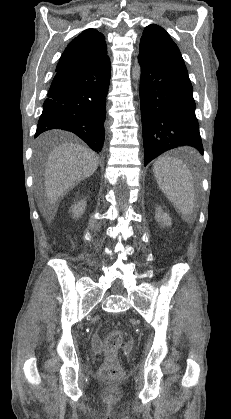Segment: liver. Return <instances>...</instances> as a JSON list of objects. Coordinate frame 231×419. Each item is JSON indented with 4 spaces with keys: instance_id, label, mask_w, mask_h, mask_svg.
<instances>
[{
    "instance_id": "obj_1",
    "label": "liver",
    "mask_w": 231,
    "mask_h": 419,
    "mask_svg": "<svg viewBox=\"0 0 231 419\" xmlns=\"http://www.w3.org/2000/svg\"><path fill=\"white\" fill-rule=\"evenodd\" d=\"M47 136L41 137L40 143ZM98 158L89 148L77 143H63L48 157L45 174V203L40 211L50 221L56 213V202L76 184L91 176L98 167Z\"/></svg>"
}]
</instances>
